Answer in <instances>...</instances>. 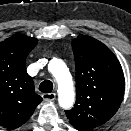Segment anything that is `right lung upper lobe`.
Returning <instances> with one entry per match:
<instances>
[{
    "instance_id": "1",
    "label": "right lung upper lobe",
    "mask_w": 131,
    "mask_h": 131,
    "mask_svg": "<svg viewBox=\"0 0 131 131\" xmlns=\"http://www.w3.org/2000/svg\"><path fill=\"white\" fill-rule=\"evenodd\" d=\"M37 42L24 34L0 42V125L5 128L20 127L42 101L25 66V59Z\"/></svg>"
}]
</instances>
